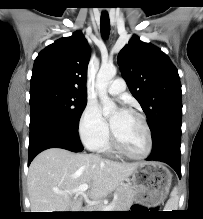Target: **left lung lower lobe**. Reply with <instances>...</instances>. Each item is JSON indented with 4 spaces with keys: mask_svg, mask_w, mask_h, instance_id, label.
<instances>
[{
    "mask_svg": "<svg viewBox=\"0 0 203 219\" xmlns=\"http://www.w3.org/2000/svg\"><path fill=\"white\" fill-rule=\"evenodd\" d=\"M181 125L168 128L154 143L146 160L161 161L170 165L181 178Z\"/></svg>",
    "mask_w": 203,
    "mask_h": 219,
    "instance_id": "left-lung-lower-lobe-1",
    "label": "left lung lower lobe"
}]
</instances>
